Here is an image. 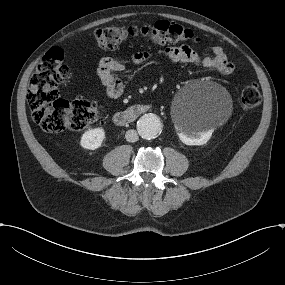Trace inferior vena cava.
I'll use <instances>...</instances> for the list:
<instances>
[{"mask_svg":"<svg viewBox=\"0 0 285 285\" xmlns=\"http://www.w3.org/2000/svg\"><path fill=\"white\" fill-rule=\"evenodd\" d=\"M125 138L128 142H136L138 141V134L136 130H128L125 134Z\"/></svg>","mask_w":285,"mask_h":285,"instance_id":"1","label":"inferior vena cava"}]
</instances>
